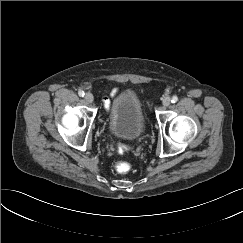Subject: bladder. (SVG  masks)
I'll return each mask as SVG.
<instances>
[{"label":"bladder","instance_id":"1","mask_svg":"<svg viewBox=\"0 0 243 243\" xmlns=\"http://www.w3.org/2000/svg\"><path fill=\"white\" fill-rule=\"evenodd\" d=\"M108 125L118 138L133 140L146 130V117L142 104L132 90L119 93L112 101L108 111Z\"/></svg>","mask_w":243,"mask_h":243}]
</instances>
